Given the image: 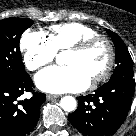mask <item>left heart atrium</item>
Masks as SVG:
<instances>
[{
	"label": "left heart atrium",
	"mask_w": 136,
	"mask_h": 136,
	"mask_svg": "<svg viewBox=\"0 0 136 136\" xmlns=\"http://www.w3.org/2000/svg\"><path fill=\"white\" fill-rule=\"evenodd\" d=\"M35 82L40 90L54 94L82 91L90 84L75 65L49 67L36 75Z\"/></svg>",
	"instance_id": "obj_1"
}]
</instances>
